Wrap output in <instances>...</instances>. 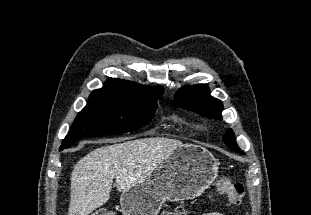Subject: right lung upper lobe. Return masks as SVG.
<instances>
[{"instance_id":"obj_1","label":"right lung upper lobe","mask_w":311,"mask_h":215,"mask_svg":"<svg viewBox=\"0 0 311 215\" xmlns=\"http://www.w3.org/2000/svg\"><path fill=\"white\" fill-rule=\"evenodd\" d=\"M163 87H150L141 84L110 78L102 89L94 90L91 95H107L135 100L159 99L163 94Z\"/></svg>"}]
</instances>
